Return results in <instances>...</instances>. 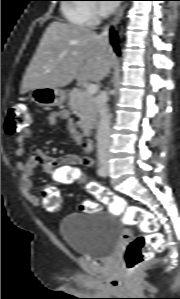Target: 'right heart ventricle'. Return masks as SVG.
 <instances>
[{
    "mask_svg": "<svg viewBox=\"0 0 180 299\" xmlns=\"http://www.w3.org/2000/svg\"><path fill=\"white\" fill-rule=\"evenodd\" d=\"M63 11L67 21L74 26L90 27L94 24L95 18L90 4H66Z\"/></svg>",
    "mask_w": 180,
    "mask_h": 299,
    "instance_id": "1",
    "label": "right heart ventricle"
}]
</instances>
